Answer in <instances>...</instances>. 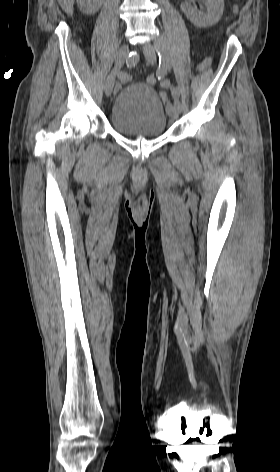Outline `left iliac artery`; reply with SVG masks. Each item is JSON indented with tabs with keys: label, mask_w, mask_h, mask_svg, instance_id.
<instances>
[{
	"label": "left iliac artery",
	"mask_w": 280,
	"mask_h": 472,
	"mask_svg": "<svg viewBox=\"0 0 280 472\" xmlns=\"http://www.w3.org/2000/svg\"><path fill=\"white\" fill-rule=\"evenodd\" d=\"M155 46H156V51L159 55V60H160L161 65L166 69L171 68V61H170V59H169V57L166 53V48H165L164 43L163 42H157ZM171 94H172V97H173L174 105L179 110H181V103H180V100H179V96H180L179 89L177 87H173L171 89Z\"/></svg>",
	"instance_id": "1"
}]
</instances>
